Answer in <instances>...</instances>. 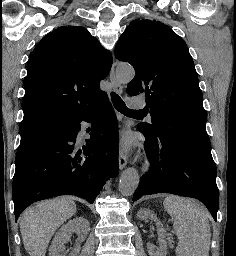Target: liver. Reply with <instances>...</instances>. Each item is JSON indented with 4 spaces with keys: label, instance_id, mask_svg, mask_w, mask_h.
Here are the masks:
<instances>
[{
    "label": "liver",
    "instance_id": "liver-1",
    "mask_svg": "<svg viewBox=\"0 0 236 256\" xmlns=\"http://www.w3.org/2000/svg\"><path fill=\"white\" fill-rule=\"evenodd\" d=\"M76 214L71 198H55L28 208L20 220L22 242L29 256H45L56 230Z\"/></svg>",
    "mask_w": 236,
    "mask_h": 256
}]
</instances>
